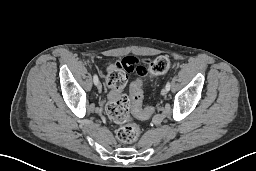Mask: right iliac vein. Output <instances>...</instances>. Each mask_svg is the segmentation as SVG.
Returning a JSON list of instances; mask_svg holds the SVG:
<instances>
[{"mask_svg":"<svg viewBox=\"0 0 256 171\" xmlns=\"http://www.w3.org/2000/svg\"><path fill=\"white\" fill-rule=\"evenodd\" d=\"M97 88H98V90L101 91V89H102V84H101L100 82L97 83Z\"/></svg>","mask_w":256,"mask_h":171,"instance_id":"right-iliac-vein-1","label":"right iliac vein"}]
</instances>
